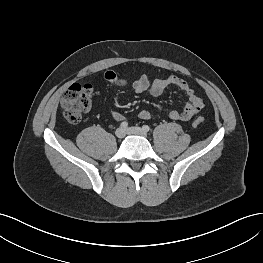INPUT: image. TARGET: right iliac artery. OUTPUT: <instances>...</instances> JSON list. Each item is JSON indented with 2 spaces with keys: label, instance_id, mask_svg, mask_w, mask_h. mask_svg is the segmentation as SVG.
<instances>
[{
  "label": "right iliac artery",
  "instance_id": "obj_1",
  "mask_svg": "<svg viewBox=\"0 0 263 263\" xmlns=\"http://www.w3.org/2000/svg\"><path fill=\"white\" fill-rule=\"evenodd\" d=\"M120 127H121L122 129H126V128L128 127V122H126V121L122 122V123L120 124Z\"/></svg>",
  "mask_w": 263,
  "mask_h": 263
}]
</instances>
